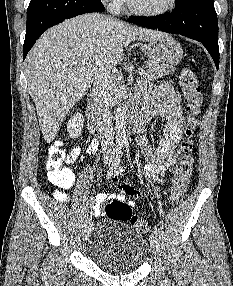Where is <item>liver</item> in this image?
<instances>
[{"label":"liver","instance_id":"6515ba94","mask_svg":"<svg viewBox=\"0 0 233 286\" xmlns=\"http://www.w3.org/2000/svg\"><path fill=\"white\" fill-rule=\"evenodd\" d=\"M165 33L98 13L66 20L48 31L26 57L29 94L43 137L50 143L69 110L89 90L98 71L120 62L131 41H152Z\"/></svg>","mask_w":233,"mask_h":286}]
</instances>
